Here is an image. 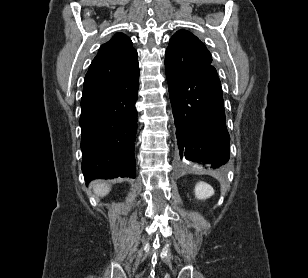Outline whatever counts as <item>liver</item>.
I'll return each instance as SVG.
<instances>
[{"label": "liver", "mask_w": 308, "mask_h": 278, "mask_svg": "<svg viewBox=\"0 0 308 278\" xmlns=\"http://www.w3.org/2000/svg\"><path fill=\"white\" fill-rule=\"evenodd\" d=\"M93 189H94L95 193L100 195V196H105L110 191V187L107 186L105 183H101V182L95 183L93 185Z\"/></svg>", "instance_id": "obj_1"}]
</instances>
